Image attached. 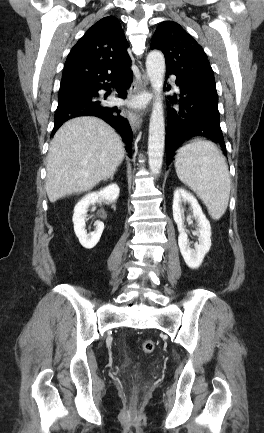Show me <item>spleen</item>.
<instances>
[{"label": "spleen", "instance_id": "spleen-1", "mask_svg": "<svg viewBox=\"0 0 264 433\" xmlns=\"http://www.w3.org/2000/svg\"><path fill=\"white\" fill-rule=\"evenodd\" d=\"M175 169L179 180L193 190L214 220L225 213L231 180L225 157L211 141L197 139L177 151Z\"/></svg>", "mask_w": 264, "mask_h": 433}]
</instances>
